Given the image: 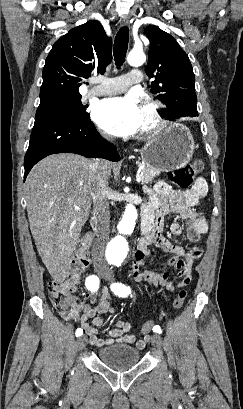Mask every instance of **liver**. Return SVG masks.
Wrapping results in <instances>:
<instances>
[{
  "label": "liver",
  "instance_id": "6515ba94",
  "mask_svg": "<svg viewBox=\"0 0 243 409\" xmlns=\"http://www.w3.org/2000/svg\"><path fill=\"white\" fill-rule=\"evenodd\" d=\"M90 163L80 155L53 154L38 162L25 182L30 230L56 282L66 279L71 255L88 220L92 204ZM101 163L109 176L112 164Z\"/></svg>",
  "mask_w": 243,
  "mask_h": 409
}]
</instances>
